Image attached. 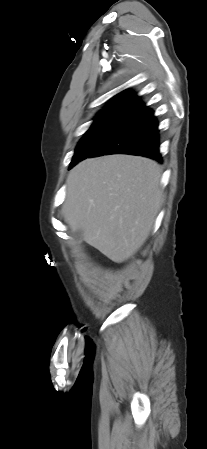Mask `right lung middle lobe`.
<instances>
[{"mask_svg": "<svg viewBox=\"0 0 207 449\" xmlns=\"http://www.w3.org/2000/svg\"><path fill=\"white\" fill-rule=\"evenodd\" d=\"M136 115L129 112L98 114L95 117L93 125L77 145L69 169L94 153L104 142L127 125Z\"/></svg>", "mask_w": 207, "mask_h": 449, "instance_id": "1", "label": "right lung middle lobe"}]
</instances>
